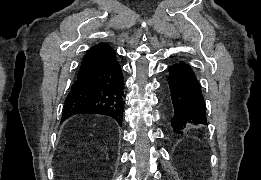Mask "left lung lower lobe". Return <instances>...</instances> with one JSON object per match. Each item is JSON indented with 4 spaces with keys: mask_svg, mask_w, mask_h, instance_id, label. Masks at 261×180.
Listing matches in <instances>:
<instances>
[{
    "mask_svg": "<svg viewBox=\"0 0 261 180\" xmlns=\"http://www.w3.org/2000/svg\"><path fill=\"white\" fill-rule=\"evenodd\" d=\"M171 126L175 135L207 124L201 85L189 64L181 61L169 67Z\"/></svg>",
    "mask_w": 261,
    "mask_h": 180,
    "instance_id": "obj_1",
    "label": "left lung lower lobe"
}]
</instances>
